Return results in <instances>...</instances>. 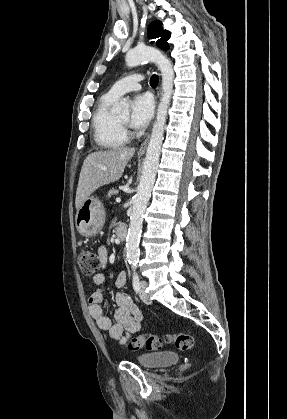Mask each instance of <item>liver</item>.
<instances>
[{
  "mask_svg": "<svg viewBox=\"0 0 287 419\" xmlns=\"http://www.w3.org/2000/svg\"><path fill=\"white\" fill-rule=\"evenodd\" d=\"M134 153V148L125 147L90 153L81 168L75 199L76 209L98 188L118 181Z\"/></svg>",
  "mask_w": 287,
  "mask_h": 419,
  "instance_id": "obj_1",
  "label": "liver"
}]
</instances>
